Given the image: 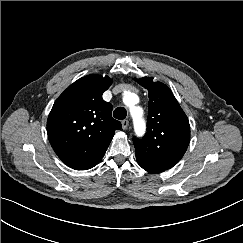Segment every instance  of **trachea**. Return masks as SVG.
Here are the masks:
<instances>
[{"label": "trachea", "instance_id": "1", "mask_svg": "<svg viewBox=\"0 0 243 243\" xmlns=\"http://www.w3.org/2000/svg\"><path fill=\"white\" fill-rule=\"evenodd\" d=\"M113 116L114 118L118 119V120H123L126 118L127 116V111L125 108L123 107H118L114 110L113 112Z\"/></svg>", "mask_w": 243, "mask_h": 243}]
</instances>
